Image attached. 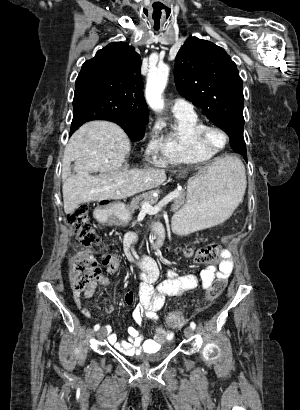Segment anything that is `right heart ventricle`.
<instances>
[{
  "label": "right heart ventricle",
  "mask_w": 300,
  "mask_h": 410,
  "mask_svg": "<svg viewBox=\"0 0 300 410\" xmlns=\"http://www.w3.org/2000/svg\"><path fill=\"white\" fill-rule=\"evenodd\" d=\"M174 123L162 138L161 162L197 164L211 160L216 153L203 148L199 132L205 123L194 112H173Z\"/></svg>",
  "instance_id": "e07e8e85"
}]
</instances>
